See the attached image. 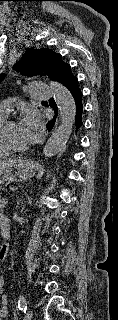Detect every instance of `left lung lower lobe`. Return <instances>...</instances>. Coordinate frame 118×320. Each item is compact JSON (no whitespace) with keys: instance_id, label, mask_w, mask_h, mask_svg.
Returning <instances> with one entry per match:
<instances>
[{"instance_id":"0a47b994","label":"left lung lower lobe","mask_w":118,"mask_h":320,"mask_svg":"<svg viewBox=\"0 0 118 320\" xmlns=\"http://www.w3.org/2000/svg\"><path fill=\"white\" fill-rule=\"evenodd\" d=\"M60 83L70 91L71 95L74 98L75 105H76V128L78 129L82 125V118H81L82 111H83L82 92L78 86V79L76 76L72 74L71 68L68 70L66 75L60 81ZM49 104L51 107H53L55 111H57L54 100H51ZM54 123H55V119H53L51 122L47 124V128L49 131L53 128Z\"/></svg>"}]
</instances>
